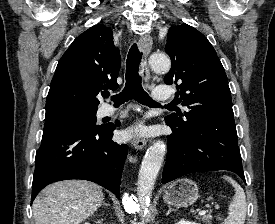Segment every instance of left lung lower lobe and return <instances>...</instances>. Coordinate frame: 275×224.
Instances as JSON below:
<instances>
[{
	"label": "left lung lower lobe",
	"mask_w": 275,
	"mask_h": 224,
	"mask_svg": "<svg viewBox=\"0 0 275 224\" xmlns=\"http://www.w3.org/2000/svg\"><path fill=\"white\" fill-rule=\"evenodd\" d=\"M167 125L173 133L167 141L163 184L189 173L218 170L235 172L245 182L235 130L209 124H198L186 130L169 122Z\"/></svg>",
	"instance_id": "obj_1"
}]
</instances>
